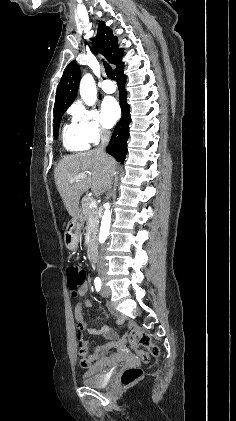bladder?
Segmentation results:
<instances>
[{
    "label": "bladder",
    "instance_id": "1",
    "mask_svg": "<svg viewBox=\"0 0 236 421\" xmlns=\"http://www.w3.org/2000/svg\"><path fill=\"white\" fill-rule=\"evenodd\" d=\"M81 383L87 386H96V387L105 386L104 380L100 372H98L96 369H92L84 373Z\"/></svg>",
    "mask_w": 236,
    "mask_h": 421
}]
</instances>
